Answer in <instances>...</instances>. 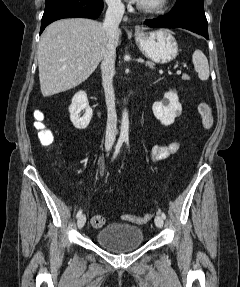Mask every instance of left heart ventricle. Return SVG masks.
<instances>
[{
    "mask_svg": "<svg viewBox=\"0 0 240 287\" xmlns=\"http://www.w3.org/2000/svg\"><path fill=\"white\" fill-rule=\"evenodd\" d=\"M157 0H141L140 2L145 3V4H153L155 3Z\"/></svg>",
    "mask_w": 240,
    "mask_h": 287,
    "instance_id": "obj_1",
    "label": "left heart ventricle"
}]
</instances>
